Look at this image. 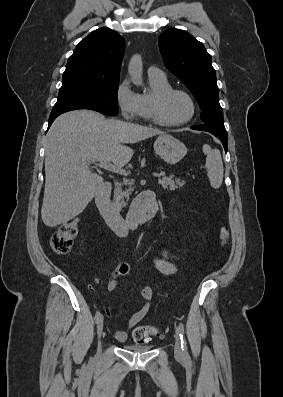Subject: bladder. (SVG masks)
Masks as SVG:
<instances>
[{
	"label": "bladder",
	"mask_w": 283,
	"mask_h": 397,
	"mask_svg": "<svg viewBox=\"0 0 283 397\" xmlns=\"http://www.w3.org/2000/svg\"><path fill=\"white\" fill-rule=\"evenodd\" d=\"M153 348L152 345H126L125 349L132 351V352H136V353H144V352H148Z\"/></svg>",
	"instance_id": "1"
}]
</instances>
